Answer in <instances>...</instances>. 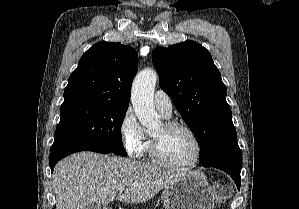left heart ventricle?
I'll return each instance as SVG.
<instances>
[{
	"label": "left heart ventricle",
	"instance_id": "left-heart-ventricle-1",
	"mask_svg": "<svg viewBox=\"0 0 299 209\" xmlns=\"http://www.w3.org/2000/svg\"><path fill=\"white\" fill-rule=\"evenodd\" d=\"M150 134L158 141L160 151L168 161L184 164L194 158L196 145L186 131L181 129L166 130L162 123Z\"/></svg>",
	"mask_w": 299,
	"mask_h": 209
}]
</instances>
